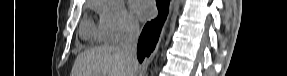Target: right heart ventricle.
<instances>
[{
	"label": "right heart ventricle",
	"instance_id": "right-heart-ventricle-1",
	"mask_svg": "<svg viewBox=\"0 0 287 76\" xmlns=\"http://www.w3.org/2000/svg\"><path fill=\"white\" fill-rule=\"evenodd\" d=\"M81 34L85 39L97 42L105 40L100 27H95L90 21L84 23L81 29Z\"/></svg>",
	"mask_w": 287,
	"mask_h": 76
}]
</instances>
